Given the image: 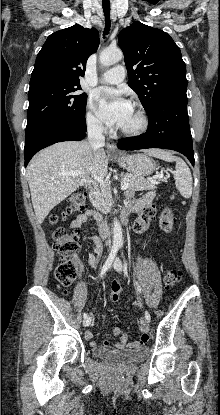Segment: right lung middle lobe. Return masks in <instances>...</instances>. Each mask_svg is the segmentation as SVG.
<instances>
[{
  "label": "right lung middle lobe",
  "instance_id": "1",
  "mask_svg": "<svg viewBox=\"0 0 220 415\" xmlns=\"http://www.w3.org/2000/svg\"><path fill=\"white\" fill-rule=\"evenodd\" d=\"M80 83L53 78L30 80L26 135L47 124L74 125L85 122L86 94Z\"/></svg>",
  "mask_w": 220,
  "mask_h": 415
}]
</instances>
